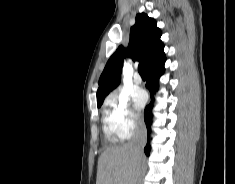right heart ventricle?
Instances as JSON below:
<instances>
[{
    "instance_id": "right-heart-ventricle-1",
    "label": "right heart ventricle",
    "mask_w": 235,
    "mask_h": 184,
    "mask_svg": "<svg viewBox=\"0 0 235 184\" xmlns=\"http://www.w3.org/2000/svg\"><path fill=\"white\" fill-rule=\"evenodd\" d=\"M108 114L104 112V118H103V123H104V132H105V137L106 140L109 144L108 150L105 152L104 157L106 159L112 158L113 156L117 155L120 152L121 149V144L116 138V134L114 133L111 125L109 124L106 116Z\"/></svg>"
}]
</instances>
